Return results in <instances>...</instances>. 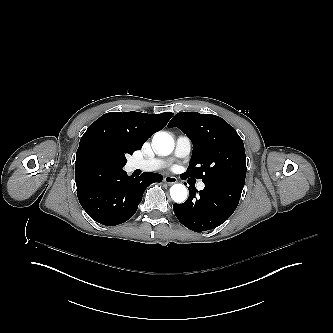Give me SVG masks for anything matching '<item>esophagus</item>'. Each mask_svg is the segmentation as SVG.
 Returning a JSON list of instances; mask_svg holds the SVG:
<instances>
[{
	"label": "esophagus",
	"mask_w": 333,
	"mask_h": 333,
	"mask_svg": "<svg viewBox=\"0 0 333 333\" xmlns=\"http://www.w3.org/2000/svg\"><path fill=\"white\" fill-rule=\"evenodd\" d=\"M164 182L167 183V184H174V183L177 182V178L173 177V176H166L164 178Z\"/></svg>",
	"instance_id": "1"
}]
</instances>
